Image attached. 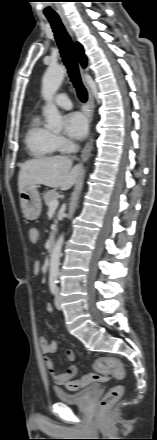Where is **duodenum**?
Returning <instances> with one entry per match:
<instances>
[{"mask_svg": "<svg viewBox=\"0 0 157 440\" xmlns=\"http://www.w3.org/2000/svg\"><path fill=\"white\" fill-rule=\"evenodd\" d=\"M54 246H55V238L51 237L48 240V243H47V250H48V252L51 253L53 251V249H54Z\"/></svg>", "mask_w": 157, "mask_h": 440, "instance_id": "obj_1", "label": "duodenum"}]
</instances>
